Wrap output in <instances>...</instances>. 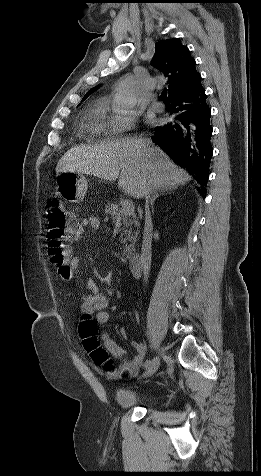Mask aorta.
I'll use <instances>...</instances> for the list:
<instances>
[{
	"label": "aorta",
	"mask_w": 261,
	"mask_h": 476,
	"mask_svg": "<svg viewBox=\"0 0 261 476\" xmlns=\"http://www.w3.org/2000/svg\"><path fill=\"white\" fill-rule=\"evenodd\" d=\"M137 88L134 82L123 81L114 97L115 108L119 111H130L136 101Z\"/></svg>",
	"instance_id": "1"
}]
</instances>
